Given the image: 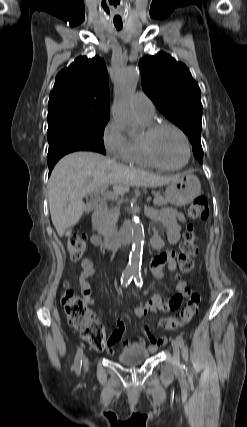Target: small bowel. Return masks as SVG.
<instances>
[{
  "label": "small bowel",
  "mask_w": 247,
  "mask_h": 427,
  "mask_svg": "<svg viewBox=\"0 0 247 427\" xmlns=\"http://www.w3.org/2000/svg\"><path fill=\"white\" fill-rule=\"evenodd\" d=\"M153 221L157 225H162L167 234V242L169 244H176L180 241L182 224L185 223V217L176 211L171 209H160L150 212ZM91 242L94 246L101 245L100 237L94 235L91 238ZM151 245L156 250H161L165 246V241L157 233L156 229L153 230L151 237ZM103 253H106V249H102ZM82 272L79 277V284L81 288V293L87 304H93L94 299L91 295L92 286L90 283V278L96 275V269L94 267L93 261L90 258H85L81 262ZM167 266L170 271H175L177 268V253L173 250H168L157 255L151 261V272L156 279L163 278V268ZM177 294L168 302L163 301L160 296L154 295L150 299L141 302L136 305L134 308V313L139 316H145L148 313H164L172 309H177L183 299L188 296L190 290L185 281H178L176 283ZM144 295H147V292L144 291ZM125 333V323L122 319H118L116 322V328L112 332L110 338L108 339V347L105 349L109 354H114L116 352V345L123 340ZM143 333L149 340V345L147 348L150 352H156L161 346L166 344L167 338L165 336L156 337L154 336L150 328L145 325L143 327ZM126 347H145L146 341L144 338H139L136 342L124 341Z\"/></svg>",
  "instance_id": "small-bowel-1"
}]
</instances>
